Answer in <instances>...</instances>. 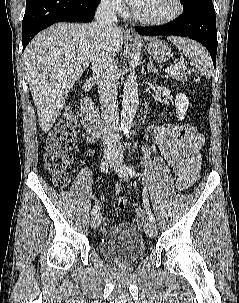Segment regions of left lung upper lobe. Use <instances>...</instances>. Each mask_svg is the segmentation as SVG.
I'll return each mask as SVG.
<instances>
[{
	"label": "left lung upper lobe",
	"instance_id": "5c2ea615",
	"mask_svg": "<svg viewBox=\"0 0 239 303\" xmlns=\"http://www.w3.org/2000/svg\"><path fill=\"white\" fill-rule=\"evenodd\" d=\"M197 1H199V0H182L183 8L188 7V6L194 4Z\"/></svg>",
	"mask_w": 239,
	"mask_h": 303
}]
</instances>
